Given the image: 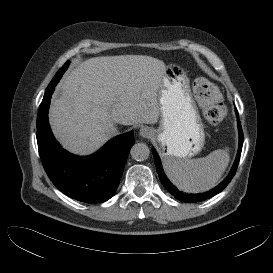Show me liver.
Instances as JSON below:
<instances>
[{
	"mask_svg": "<svg viewBox=\"0 0 273 273\" xmlns=\"http://www.w3.org/2000/svg\"><path fill=\"white\" fill-rule=\"evenodd\" d=\"M165 70L162 60L146 55L101 56L81 62L64 77L52 98L49 122L55 137L70 152L89 155L110 139L116 124L156 123Z\"/></svg>",
	"mask_w": 273,
	"mask_h": 273,
	"instance_id": "liver-1",
	"label": "liver"
}]
</instances>
